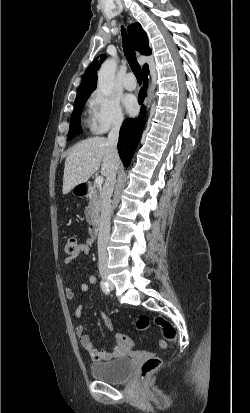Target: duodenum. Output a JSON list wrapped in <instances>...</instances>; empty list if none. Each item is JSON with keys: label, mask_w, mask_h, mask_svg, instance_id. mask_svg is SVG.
Instances as JSON below:
<instances>
[{"label": "duodenum", "mask_w": 250, "mask_h": 413, "mask_svg": "<svg viewBox=\"0 0 250 413\" xmlns=\"http://www.w3.org/2000/svg\"><path fill=\"white\" fill-rule=\"evenodd\" d=\"M89 186L88 184H81L80 186V195L86 196L88 194ZM100 232V223L99 221H93L89 227V233L91 237L96 238Z\"/></svg>", "instance_id": "duodenum-1"}]
</instances>
